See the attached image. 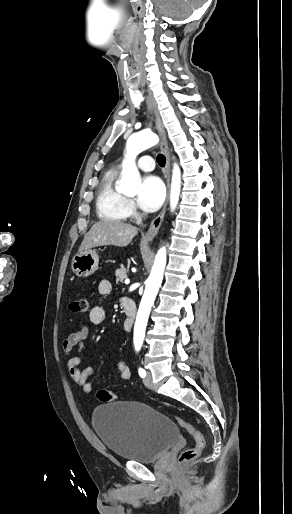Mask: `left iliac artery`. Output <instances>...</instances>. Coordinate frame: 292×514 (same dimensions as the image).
Returning <instances> with one entry per match:
<instances>
[{
	"label": "left iliac artery",
	"instance_id": "obj_1",
	"mask_svg": "<svg viewBox=\"0 0 292 514\" xmlns=\"http://www.w3.org/2000/svg\"><path fill=\"white\" fill-rule=\"evenodd\" d=\"M138 373H139V376L142 378H144L146 376V371L141 367H139Z\"/></svg>",
	"mask_w": 292,
	"mask_h": 514
}]
</instances>
